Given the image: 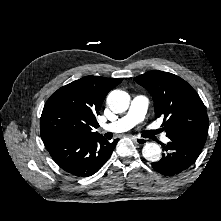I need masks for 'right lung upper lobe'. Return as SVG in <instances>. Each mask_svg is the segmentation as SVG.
<instances>
[{"mask_svg":"<svg viewBox=\"0 0 221 221\" xmlns=\"http://www.w3.org/2000/svg\"><path fill=\"white\" fill-rule=\"evenodd\" d=\"M86 76L59 88L47 100L40 119L42 140L56 136H94L98 128L96 116L108 92L122 82Z\"/></svg>","mask_w":221,"mask_h":221,"instance_id":"obj_1","label":"right lung upper lobe"}]
</instances>
